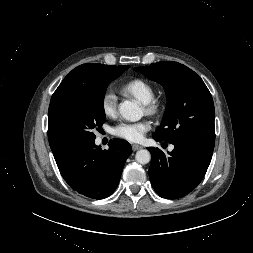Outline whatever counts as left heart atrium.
Listing matches in <instances>:
<instances>
[{"instance_id": "obj_1", "label": "left heart atrium", "mask_w": 253, "mask_h": 253, "mask_svg": "<svg viewBox=\"0 0 253 253\" xmlns=\"http://www.w3.org/2000/svg\"><path fill=\"white\" fill-rule=\"evenodd\" d=\"M150 128V123L146 120L139 122H122L116 125L112 132L118 138L129 142H139Z\"/></svg>"}]
</instances>
